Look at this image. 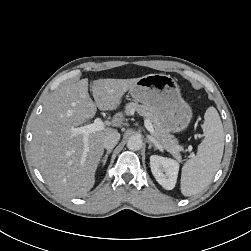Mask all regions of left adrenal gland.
Wrapping results in <instances>:
<instances>
[{
	"label": "left adrenal gland",
	"mask_w": 251,
	"mask_h": 251,
	"mask_svg": "<svg viewBox=\"0 0 251 251\" xmlns=\"http://www.w3.org/2000/svg\"><path fill=\"white\" fill-rule=\"evenodd\" d=\"M148 143H149L148 149H151L152 147H153L155 150L158 149L154 144L151 143V141L148 140Z\"/></svg>",
	"instance_id": "obj_1"
}]
</instances>
